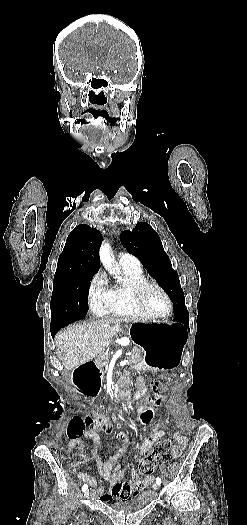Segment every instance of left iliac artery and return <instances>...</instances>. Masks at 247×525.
Wrapping results in <instances>:
<instances>
[{
  "label": "left iliac artery",
  "mask_w": 247,
  "mask_h": 525,
  "mask_svg": "<svg viewBox=\"0 0 247 525\" xmlns=\"http://www.w3.org/2000/svg\"><path fill=\"white\" fill-rule=\"evenodd\" d=\"M156 483H157L158 485L161 484V479H160L159 477L156 479Z\"/></svg>",
  "instance_id": "left-iliac-artery-1"
}]
</instances>
